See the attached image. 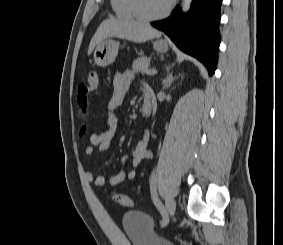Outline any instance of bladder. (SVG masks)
I'll return each instance as SVG.
<instances>
[{
  "label": "bladder",
  "instance_id": "bladder-1",
  "mask_svg": "<svg viewBox=\"0 0 283 245\" xmlns=\"http://www.w3.org/2000/svg\"><path fill=\"white\" fill-rule=\"evenodd\" d=\"M121 224L131 245H173L159 235L152 218L142 211L125 212Z\"/></svg>",
  "mask_w": 283,
  "mask_h": 245
}]
</instances>
